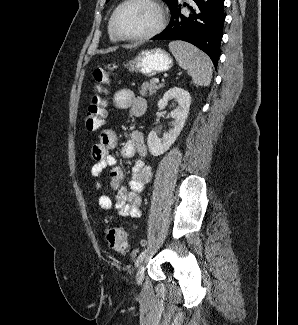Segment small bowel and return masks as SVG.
<instances>
[{
    "label": "small bowel",
    "mask_w": 298,
    "mask_h": 325,
    "mask_svg": "<svg viewBox=\"0 0 298 325\" xmlns=\"http://www.w3.org/2000/svg\"><path fill=\"white\" fill-rule=\"evenodd\" d=\"M113 99L116 107L130 108L133 115H139V109L146 108L145 101L135 97L129 89L117 91ZM128 137L120 152L123 158L133 159L128 186L123 185V171L117 159L110 153L118 142L117 133L113 129L102 131L99 142L92 147V158L95 163L91 168V175L95 179V188L100 190L102 188L100 175L109 169L110 185L116 191V196L112 199L107 195H100L99 206L104 210L115 209L119 216L133 219L140 216L141 193L151 179V168L145 161L147 150L142 133L132 131Z\"/></svg>",
    "instance_id": "obj_1"
}]
</instances>
